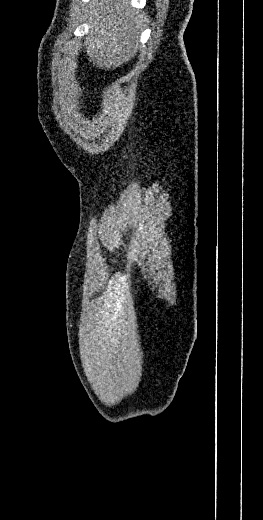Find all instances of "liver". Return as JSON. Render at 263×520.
<instances>
[{
    "instance_id": "6515ba94",
    "label": "liver",
    "mask_w": 263,
    "mask_h": 520,
    "mask_svg": "<svg viewBox=\"0 0 263 520\" xmlns=\"http://www.w3.org/2000/svg\"><path fill=\"white\" fill-rule=\"evenodd\" d=\"M128 0H100L90 19L86 41L89 61L108 70L127 63L139 48L138 37L145 15L129 8Z\"/></svg>"
}]
</instances>
